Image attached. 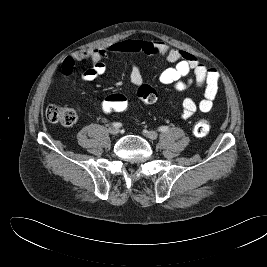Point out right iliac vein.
Listing matches in <instances>:
<instances>
[{
    "mask_svg": "<svg viewBox=\"0 0 267 267\" xmlns=\"http://www.w3.org/2000/svg\"><path fill=\"white\" fill-rule=\"evenodd\" d=\"M109 133L112 134V135H117L119 133V129L117 127H110L108 129Z\"/></svg>",
    "mask_w": 267,
    "mask_h": 267,
    "instance_id": "obj_1",
    "label": "right iliac vein"
}]
</instances>
